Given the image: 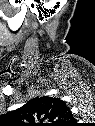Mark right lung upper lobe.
<instances>
[{
    "instance_id": "right-lung-upper-lobe-1",
    "label": "right lung upper lobe",
    "mask_w": 95,
    "mask_h": 126,
    "mask_svg": "<svg viewBox=\"0 0 95 126\" xmlns=\"http://www.w3.org/2000/svg\"><path fill=\"white\" fill-rule=\"evenodd\" d=\"M6 119L18 126H72L74 117L60 98L42 96L8 112Z\"/></svg>"
}]
</instances>
